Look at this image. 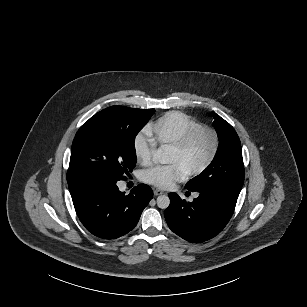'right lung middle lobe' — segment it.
<instances>
[{
    "instance_id": "1",
    "label": "right lung middle lobe",
    "mask_w": 307,
    "mask_h": 307,
    "mask_svg": "<svg viewBox=\"0 0 307 307\" xmlns=\"http://www.w3.org/2000/svg\"><path fill=\"white\" fill-rule=\"evenodd\" d=\"M154 110L108 107L85 122L72 143L67 182L123 180L136 165L135 137Z\"/></svg>"
}]
</instances>
